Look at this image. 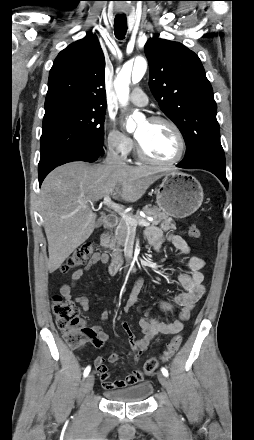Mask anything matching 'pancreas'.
Segmentation results:
<instances>
[{"label": "pancreas", "instance_id": "1", "mask_svg": "<svg viewBox=\"0 0 254 440\" xmlns=\"http://www.w3.org/2000/svg\"><path fill=\"white\" fill-rule=\"evenodd\" d=\"M142 211L147 215L153 218L151 222L153 225H159L160 229L163 231H173L176 229L175 223L172 218H170L165 213L161 212V210L157 207H151V205H146L143 207ZM135 219H142L139 213L135 215L130 214ZM129 228L133 230L132 226H128L123 219L119 220L118 226L114 230V234L107 233L101 238V244L105 248H109L113 251L112 257H120L121 249L120 246H123L127 237Z\"/></svg>", "mask_w": 254, "mask_h": 440}]
</instances>
